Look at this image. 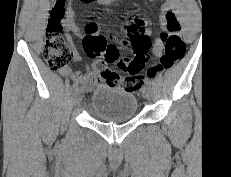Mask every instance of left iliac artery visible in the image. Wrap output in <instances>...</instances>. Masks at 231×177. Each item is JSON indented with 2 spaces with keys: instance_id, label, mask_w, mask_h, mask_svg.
<instances>
[{
  "instance_id": "left-iliac-artery-1",
  "label": "left iliac artery",
  "mask_w": 231,
  "mask_h": 177,
  "mask_svg": "<svg viewBox=\"0 0 231 177\" xmlns=\"http://www.w3.org/2000/svg\"><path fill=\"white\" fill-rule=\"evenodd\" d=\"M148 84H152V82L150 80L147 81Z\"/></svg>"
}]
</instances>
